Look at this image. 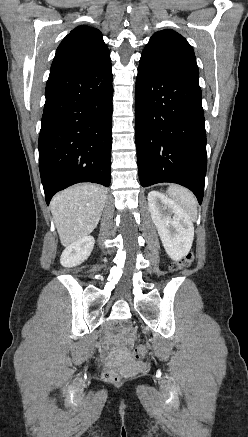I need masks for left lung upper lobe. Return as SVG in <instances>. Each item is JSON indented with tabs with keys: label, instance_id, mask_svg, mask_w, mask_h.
I'll return each mask as SVG.
<instances>
[{
	"label": "left lung upper lobe",
	"instance_id": "5c2ea615",
	"mask_svg": "<svg viewBox=\"0 0 248 437\" xmlns=\"http://www.w3.org/2000/svg\"><path fill=\"white\" fill-rule=\"evenodd\" d=\"M139 67L199 84L194 51L186 39L173 30L158 31L150 38Z\"/></svg>",
	"mask_w": 248,
	"mask_h": 437
}]
</instances>
